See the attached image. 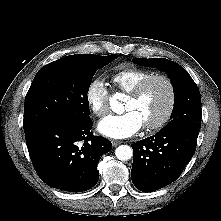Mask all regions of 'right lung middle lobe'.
<instances>
[{
	"label": "right lung middle lobe",
	"mask_w": 221,
	"mask_h": 221,
	"mask_svg": "<svg viewBox=\"0 0 221 221\" xmlns=\"http://www.w3.org/2000/svg\"><path fill=\"white\" fill-rule=\"evenodd\" d=\"M117 57L70 55L41 68L25 97L24 132L54 120L89 121L87 93L91 80L96 70Z\"/></svg>",
	"instance_id": "obj_1"
}]
</instances>
